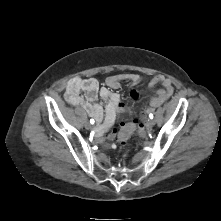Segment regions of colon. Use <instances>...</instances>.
Returning <instances> with one entry per match:
<instances>
[{"instance_id": "1", "label": "colon", "mask_w": 221, "mask_h": 221, "mask_svg": "<svg viewBox=\"0 0 221 221\" xmlns=\"http://www.w3.org/2000/svg\"><path fill=\"white\" fill-rule=\"evenodd\" d=\"M138 129L139 124L135 118H130L127 122H124L116 135L118 144L123 146L126 142H130L133 139L132 133L136 132Z\"/></svg>"}]
</instances>
